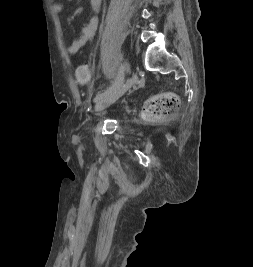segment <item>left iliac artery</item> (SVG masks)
I'll use <instances>...</instances> for the list:
<instances>
[{"label":"left iliac artery","mask_w":253,"mask_h":267,"mask_svg":"<svg viewBox=\"0 0 253 267\" xmlns=\"http://www.w3.org/2000/svg\"><path fill=\"white\" fill-rule=\"evenodd\" d=\"M121 68H122V71L120 72V74L116 78L115 82L112 85H109L102 94L97 95L94 98V101H98V100L101 101L104 97H106L108 94H110L114 89H117L123 85L124 67L122 66Z\"/></svg>","instance_id":"left-iliac-artery-1"}]
</instances>
